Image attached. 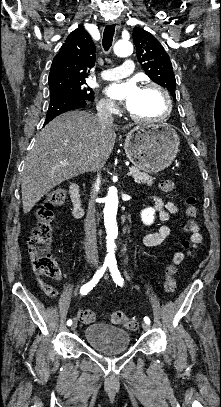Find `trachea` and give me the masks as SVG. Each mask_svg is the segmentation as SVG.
I'll list each match as a JSON object with an SVG mask.
<instances>
[{"label":"trachea","mask_w":221,"mask_h":407,"mask_svg":"<svg viewBox=\"0 0 221 407\" xmlns=\"http://www.w3.org/2000/svg\"><path fill=\"white\" fill-rule=\"evenodd\" d=\"M115 25H107L104 29L102 44L105 51H108L112 45Z\"/></svg>","instance_id":"obj_1"}]
</instances>
